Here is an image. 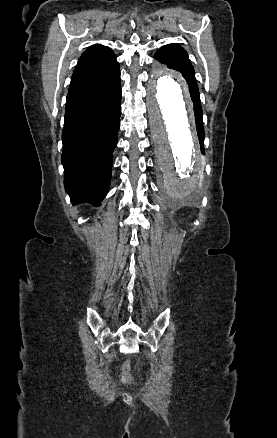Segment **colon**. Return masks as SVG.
I'll return each mask as SVG.
<instances>
[{"instance_id":"colon-1","label":"colon","mask_w":277,"mask_h":438,"mask_svg":"<svg viewBox=\"0 0 277 438\" xmlns=\"http://www.w3.org/2000/svg\"><path fill=\"white\" fill-rule=\"evenodd\" d=\"M119 377H120V380H121L122 382H129V381H130V379H129V377L127 376V373H126V372L121 373Z\"/></svg>"}]
</instances>
